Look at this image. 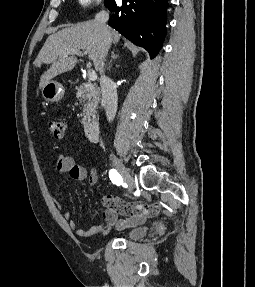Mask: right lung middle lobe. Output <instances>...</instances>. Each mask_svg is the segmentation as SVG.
I'll return each mask as SVG.
<instances>
[{
  "mask_svg": "<svg viewBox=\"0 0 255 287\" xmlns=\"http://www.w3.org/2000/svg\"><path fill=\"white\" fill-rule=\"evenodd\" d=\"M104 3L108 8H111L115 4V0H105Z\"/></svg>",
  "mask_w": 255,
  "mask_h": 287,
  "instance_id": "1",
  "label": "right lung middle lobe"
}]
</instances>
